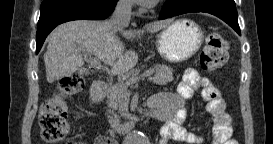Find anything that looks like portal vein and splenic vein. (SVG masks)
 Returning <instances> with one entry per match:
<instances>
[{"instance_id":"18ae733b","label":"portal vein and splenic vein","mask_w":273,"mask_h":144,"mask_svg":"<svg viewBox=\"0 0 273 144\" xmlns=\"http://www.w3.org/2000/svg\"><path fill=\"white\" fill-rule=\"evenodd\" d=\"M84 53V57L88 58L90 60L91 65L95 66L96 68H100V61L97 58H92L88 52H83ZM154 73V70H148L146 72H144L141 76H139L137 79H135L134 81H137L143 77H149Z\"/></svg>"}]
</instances>
